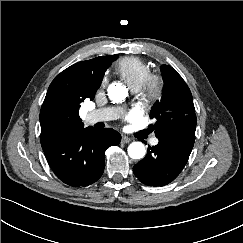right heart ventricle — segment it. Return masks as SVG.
Listing matches in <instances>:
<instances>
[{"label": "right heart ventricle", "instance_id": "right-heart-ventricle-1", "mask_svg": "<svg viewBox=\"0 0 243 243\" xmlns=\"http://www.w3.org/2000/svg\"><path fill=\"white\" fill-rule=\"evenodd\" d=\"M115 70L134 91H138L152 73L151 67L146 62L135 57L120 59L115 66Z\"/></svg>", "mask_w": 243, "mask_h": 243}]
</instances>
